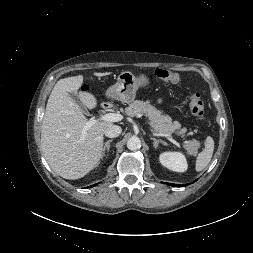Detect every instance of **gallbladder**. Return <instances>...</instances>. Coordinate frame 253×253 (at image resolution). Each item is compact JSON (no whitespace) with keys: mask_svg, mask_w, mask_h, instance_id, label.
<instances>
[{"mask_svg":"<svg viewBox=\"0 0 253 253\" xmlns=\"http://www.w3.org/2000/svg\"><path fill=\"white\" fill-rule=\"evenodd\" d=\"M69 96L74 100L75 103H77V105L84 110V107L79 99V96L75 93V92H72V93H69Z\"/></svg>","mask_w":253,"mask_h":253,"instance_id":"obj_1","label":"gallbladder"}]
</instances>
